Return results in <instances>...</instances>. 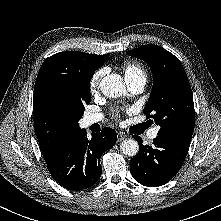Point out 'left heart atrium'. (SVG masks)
<instances>
[{
  "instance_id": "39dd6f15",
  "label": "left heart atrium",
  "mask_w": 221,
  "mask_h": 221,
  "mask_svg": "<svg viewBox=\"0 0 221 221\" xmlns=\"http://www.w3.org/2000/svg\"><path fill=\"white\" fill-rule=\"evenodd\" d=\"M117 111H118V110H115V112H114L116 117H117V115H118V112H117Z\"/></svg>"
}]
</instances>
